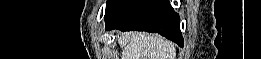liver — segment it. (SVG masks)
Returning a JSON list of instances; mask_svg holds the SVG:
<instances>
[{"instance_id":"obj_1","label":"liver","mask_w":261,"mask_h":59,"mask_svg":"<svg viewBox=\"0 0 261 59\" xmlns=\"http://www.w3.org/2000/svg\"><path fill=\"white\" fill-rule=\"evenodd\" d=\"M121 59H175V44L157 34L122 33L118 38Z\"/></svg>"}]
</instances>
